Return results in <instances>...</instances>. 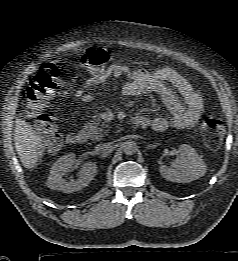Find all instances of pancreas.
<instances>
[{"label":"pancreas","instance_id":"obj_1","mask_svg":"<svg viewBox=\"0 0 238 261\" xmlns=\"http://www.w3.org/2000/svg\"><path fill=\"white\" fill-rule=\"evenodd\" d=\"M107 127V124L102 122L100 117H98L97 119L87 122L82 131L92 140H101L104 133L108 132V130L104 131Z\"/></svg>","mask_w":238,"mask_h":261}]
</instances>
